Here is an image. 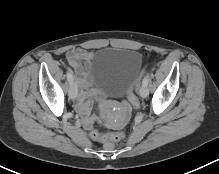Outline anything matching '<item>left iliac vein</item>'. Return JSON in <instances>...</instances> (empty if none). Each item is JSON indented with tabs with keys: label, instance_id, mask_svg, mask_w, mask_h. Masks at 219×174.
<instances>
[{
	"label": "left iliac vein",
	"instance_id": "obj_1",
	"mask_svg": "<svg viewBox=\"0 0 219 174\" xmlns=\"http://www.w3.org/2000/svg\"><path fill=\"white\" fill-rule=\"evenodd\" d=\"M139 95L142 97V98H145L148 96V89H147V86L145 85H141V87L139 88Z\"/></svg>",
	"mask_w": 219,
	"mask_h": 174
}]
</instances>
